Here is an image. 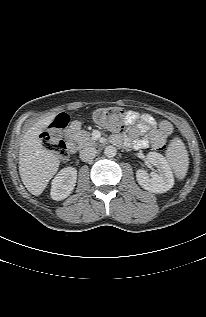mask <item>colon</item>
I'll return each mask as SVG.
<instances>
[{
    "label": "colon",
    "instance_id": "obj_1",
    "mask_svg": "<svg viewBox=\"0 0 206 317\" xmlns=\"http://www.w3.org/2000/svg\"><path fill=\"white\" fill-rule=\"evenodd\" d=\"M94 120L101 126L118 131L121 130L126 123L127 113L119 107L101 108L95 111ZM69 122L66 115H59L53 122L51 128L42 134V142L48 149L54 150L62 160H67L69 150L63 141H57V134ZM163 144L161 149H164Z\"/></svg>",
    "mask_w": 206,
    "mask_h": 317
}]
</instances>
